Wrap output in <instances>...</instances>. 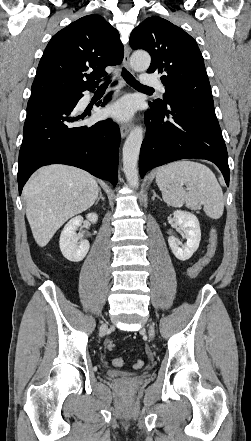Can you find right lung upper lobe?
I'll use <instances>...</instances> for the list:
<instances>
[{
  "label": "right lung upper lobe",
  "mask_w": 251,
  "mask_h": 441,
  "mask_svg": "<svg viewBox=\"0 0 251 441\" xmlns=\"http://www.w3.org/2000/svg\"><path fill=\"white\" fill-rule=\"evenodd\" d=\"M118 31L102 16L88 15L56 33L39 62L31 97L77 93L97 87L105 68L122 62ZM89 69L90 74L85 73Z\"/></svg>",
  "instance_id": "obj_1"
}]
</instances>
